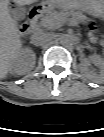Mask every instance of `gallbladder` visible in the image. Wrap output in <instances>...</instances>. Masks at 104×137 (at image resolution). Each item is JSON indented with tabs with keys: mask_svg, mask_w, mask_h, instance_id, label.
<instances>
[{
	"mask_svg": "<svg viewBox=\"0 0 104 137\" xmlns=\"http://www.w3.org/2000/svg\"><path fill=\"white\" fill-rule=\"evenodd\" d=\"M12 17L16 19H23L27 14V10L25 7H16L10 11Z\"/></svg>",
	"mask_w": 104,
	"mask_h": 137,
	"instance_id": "1",
	"label": "gallbladder"
}]
</instances>
